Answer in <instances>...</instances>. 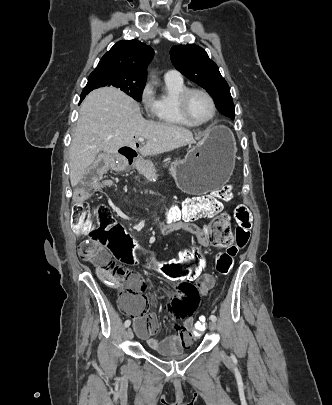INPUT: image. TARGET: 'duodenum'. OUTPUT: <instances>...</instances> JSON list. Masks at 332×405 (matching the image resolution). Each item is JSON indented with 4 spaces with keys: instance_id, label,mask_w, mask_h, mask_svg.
<instances>
[{
    "instance_id": "1",
    "label": "duodenum",
    "mask_w": 332,
    "mask_h": 405,
    "mask_svg": "<svg viewBox=\"0 0 332 405\" xmlns=\"http://www.w3.org/2000/svg\"><path fill=\"white\" fill-rule=\"evenodd\" d=\"M121 155L129 164H132L137 158V154L133 150H125L121 152ZM191 219L192 216L190 213H185L180 217L166 219L161 224V230L163 233H170L176 230L185 229V224Z\"/></svg>"
}]
</instances>
